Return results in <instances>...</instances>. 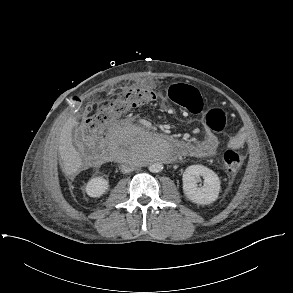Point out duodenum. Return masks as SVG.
<instances>
[{
	"mask_svg": "<svg viewBox=\"0 0 293 293\" xmlns=\"http://www.w3.org/2000/svg\"><path fill=\"white\" fill-rule=\"evenodd\" d=\"M164 138H166L171 143L175 153L174 156L165 159V161L169 163H172L177 160L178 153L182 155L183 153L187 152L189 149V144L180 139H177L173 136H164ZM116 156H117L116 153L112 155V157H116Z\"/></svg>",
	"mask_w": 293,
	"mask_h": 293,
	"instance_id": "duodenum-1",
	"label": "duodenum"
}]
</instances>
